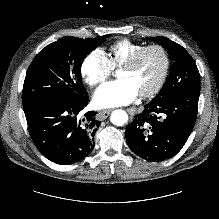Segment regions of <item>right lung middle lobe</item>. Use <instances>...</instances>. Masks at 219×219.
Instances as JSON below:
<instances>
[{
    "label": "right lung middle lobe",
    "instance_id": "obj_1",
    "mask_svg": "<svg viewBox=\"0 0 219 219\" xmlns=\"http://www.w3.org/2000/svg\"><path fill=\"white\" fill-rule=\"evenodd\" d=\"M109 36L64 37L46 46L28 68L22 93L24 109L48 99L87 97L81 82V65L86 55Z\"/></svg>",
    "mask_w": 219,
    "mask_h": 219
}]
</instances>
